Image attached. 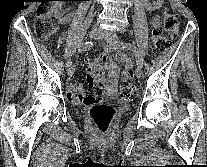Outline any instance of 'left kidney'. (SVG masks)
Listing matches in <instances>:
<instances>
[{
  "label": "left kidney",
  "instance_id": "5707ae66",
  "mask_svg": "<svg viewBox=\"0 0 207 167\" xmlns=\"http://www.w3.org/2000/svg\"><path fill=\"white\" fill-rule=\"evenodd\" d=\"M159 1H163V0H159ZM145 6L147 9L151 10V9H156V8L160 7V3H157L156 5L154 4V7L152 5H150L149 3H145Z\"/></svg>",
  "mask_w": 207,
  "mask_h": 167
}]
</instances>
